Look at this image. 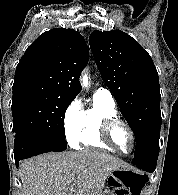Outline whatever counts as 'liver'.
I'll return each mask as SVG.
<instances>
[{"instance_id":"obj_1","label":"liver","mask_w":178,"mask_h":195,"mask_svg":"<svg viewBox=\"0 0 178 195\" xmlns=\"http://www.w3.org/2000/svg\"><path fill=\"white\" fill-rule=\"evenodd\" d=\"M117 169L128 167L100 152L39 155L20 165L22 195H102L108 176Z\"/></svg>"}]
</instances>
